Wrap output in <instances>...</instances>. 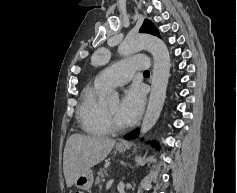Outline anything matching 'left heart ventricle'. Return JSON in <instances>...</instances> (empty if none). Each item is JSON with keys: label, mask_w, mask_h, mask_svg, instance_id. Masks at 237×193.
I'll return each mask as SVG.
<instances>
[{"label": "left heart ventricle", "mask_w": 237, "mask_h": 193, "mask_svg": "<svg viewBox=\"0 0 237 193\" xmlns=\"http://www.w3.org/2000/svg\"><path fill=\"white\" fill-rule=\"evenodd\" d=\"M106 107H107L110 115L112 116L113 120L116 123H118L120 125H125V123L122 121V119L120 117V102L113 101V102L106 103Z\"/></svg>", "instance_id": "1"}]
</instances>
